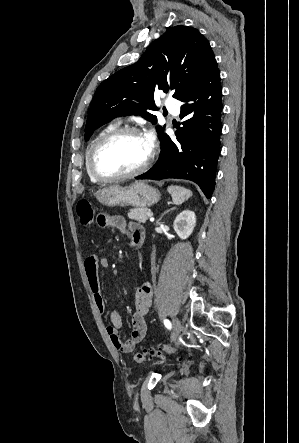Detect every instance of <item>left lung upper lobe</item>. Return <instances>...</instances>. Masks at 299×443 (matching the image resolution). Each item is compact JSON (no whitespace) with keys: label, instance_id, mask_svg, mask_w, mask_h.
<instances>
[{"label":"left lung upper lobe","instance_id":"obj_1","mask_svg":"<svg viewBox=\"0 0 299 443\" xmlns=\"http://www.w3.org/2000/svg\"><path fill=\"white\" fill-rule=\"evenodd\" d=\"M215 56L208 40L195 28L178 25L155 40L141 58L103 81L94 95L85 127V140L94 130L123 115H141L153 124L154 92L174 91L181 100L205 75ZM160 138L162 127H157Z\"/></svg>","mask_w":299,"mask_h":443}]
</instances>
